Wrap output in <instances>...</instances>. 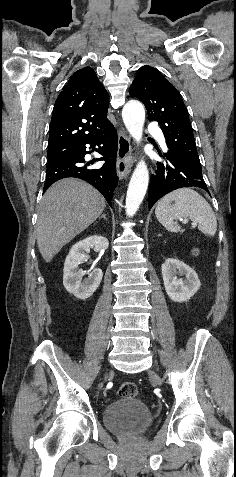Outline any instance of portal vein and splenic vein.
Wrapping results in <instances>:
<instances>
[{
  "label": "portal vein and splenic vein",
  "instance_id": "obj_1",
  "mask_svg": "<svg viewBox=\"0 0 236 477\" xmlns=\"http://www.w3.org/2000/svg\"><path fill=\"white\" fill-rule=\"evenodd\" d=\"M182 222H183V223H186V222H187V220H182Z\"/></svg>",
  "mask_w": 236,
  "mask_h": 477
}]
</instances>
